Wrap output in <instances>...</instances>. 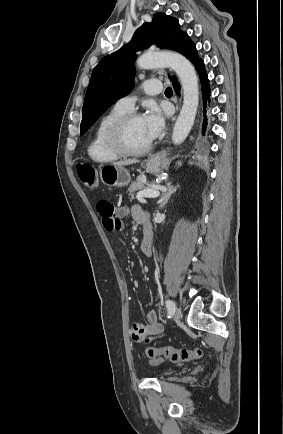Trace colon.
<instances>
[{"mask_svg":"<svg viewBox=\"0 0 283 434\" xmlns=\"http://www.w3.org/2000/svg\"><path fill=\"white\" fill-rule=\"evenodd\" d=\"M78 176L87 188L93 189L97 186V174L93 167L89 165H80L78 167ZM145 354L149 358L162 355L172 362H188L201 358L203 356V351L199 348L189 350L185 348L179 349L166 346L162 348L148 347L145 350Z\"/></svg>","mask_w":283,"mask_h":434,"instance_id":"obj_1","label":"colon"}]
</instances>
